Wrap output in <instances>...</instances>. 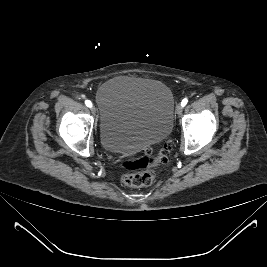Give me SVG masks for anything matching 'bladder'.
Returning a JSON list of instances; mask_svg holds the SVG:
<instances>
[{
    "label": "bladder",
    "mask_w": 267,
    "mask_h": 267,
    "mask_svg": "<svg viewBox=\"0 0 267 267\" xmlns=\"http://www.w3.org/2000/svg\"><path fill=\"white\" fill-rule=\"evenodd\" d=\"M102 146L113 153H132L159 143L173 126L174 97L163 83L119 76L96 94Z\"/></svg>",
    "instance_id": "bladder-1"
}]
</instances>
